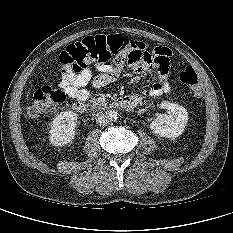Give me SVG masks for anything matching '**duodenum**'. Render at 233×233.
<instances>
[{
    "label": "duodenum",
    "instance_id": "1",
    "mask_svg": "<svg viewBox=\"0 0 233 233\" xmlns=\"http://www.w3.org/2000/svg\"><path fill=\"white\" fill-rule=\"evenodd\" d=\"M139 100L140 98L138 96L128 95V96H124V97H120L116 99L112 103V105L119 109L131 110L137 106V104L139 103ZM100 107H101L100 104L88 105L87 103L81 102V101H78L74 103L73 105L74 111H76L77 113H81V114L86 113L89 110L98 109Z\"/></svg>",
    "mask_w": 233,
    "mask_h": 233
}]
</instances>
